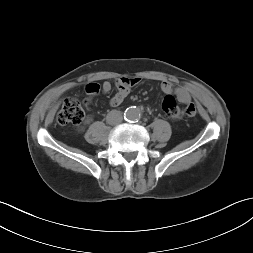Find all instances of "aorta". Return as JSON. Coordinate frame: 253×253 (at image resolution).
<instances>
[{
    "instance_id": "762f6f07",
    "label": "aorta",
    "mask_w": 253,
    "mask_h": 253,
    "mask_svg": "<svg viewBox=\"0 0 253 253\" xmlns=\"http://www.w3.org/2000/svg\"><path fill=\"white\" fill-rule=\"evenodd\" d=\"M141 110L137 107H129L125 110V119L129 121H136L141 118Z\"/></svg>"
}]
</instances>
